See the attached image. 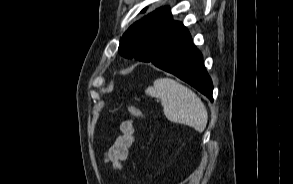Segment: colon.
<instances>
[{"mask_svg":"<svg viewBox=\"0 0 293 184\" xmlns=\"http://www.w3.org/2000/svg\"><path fill=\"white\" fill-rule=\"evenodd\" d=\"M125 108L128 111V113L132 115L133 117L140 118V119L147 118V116L139 108H137L134 105L126 104Z\"/></svg>","mask_w":293,"mask_h":184,"instance_id":"colon-1","label":"colon"}]
</instances>
